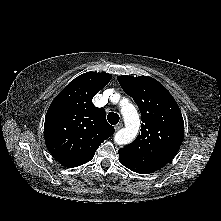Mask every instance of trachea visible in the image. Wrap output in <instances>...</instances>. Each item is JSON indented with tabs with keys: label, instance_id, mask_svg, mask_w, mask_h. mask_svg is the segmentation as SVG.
I'll use <instances>...</instances> for the list:
<instances>
[{
	"label": "trachea",
	"instance_id": "3493384b",
	"mask_svg": "<svg viewBox=\"0 0 221 221\" xmlns=\"http://www.w3.org/2000/svg\"><path fill=\"white\" fill-rule=\"evenodd\" d=\"M119 115L114 112H110L107 116V120L111 125H116L119 122Z\"/></svg>",
	"mask_w": 221,
	"mask_h": 221
}]
</instances>
